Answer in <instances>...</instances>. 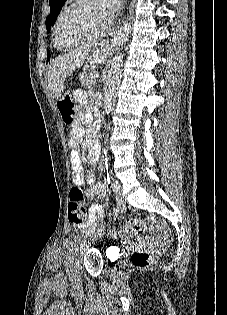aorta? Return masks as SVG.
Wrapping results in <instances>:
<instances>
[{
  "instance_id": "obj_1",
  "label": "aorta",
  "mask_w": 227,
  "mask_h": 315,
  "mask_svg": "<svg viewBox=\"0 0 227 315\" xmlns=\"http://www.w3.org/2000/svg\"><path fill=\"white\" fill-rule=\"evenodd\" d=\"M127 40V34H119L113 40L115 55L111 61L104 86L103 108L109 114L116 98V92L121 81L123 53L122 47Z\"/></svg>"
}]
</instances>
